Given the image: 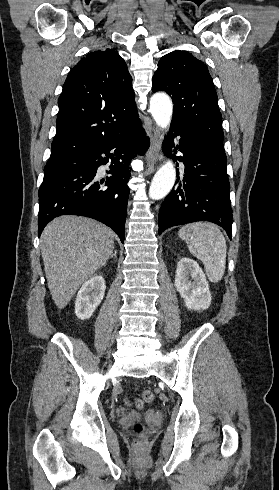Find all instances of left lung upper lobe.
Wrapping results in <instances>:
<instances>
[{"mask_svg": "<svg viewBox=\"0 0 279 490\" xmlns=\"http://www.w3.org/2000/svg\"><path fill=\"white\" fill-rule=\"evenodd\" d=\"M152 91L172 95V123L223 142L221 113L207 66L186 51L161 57L152 80Z\"/></svg>", "mask_w": 279, "mask_h": 490, "instance_id": "1", "label": "left lung upper lobe"}]
</instances>
